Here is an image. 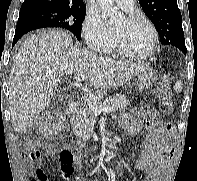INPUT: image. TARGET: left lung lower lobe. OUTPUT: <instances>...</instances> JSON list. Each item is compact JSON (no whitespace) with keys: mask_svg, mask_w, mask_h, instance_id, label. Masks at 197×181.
Returning a JSON list of instances; mask_svg holds the SVG:
<instances>
[{"mask_svg":"<svg viewBox=\"0 0 197 181\" xmlns=\"http://www.w3.org/2000/svg\"><path fill=\"white\" fill-rule=\"evenodd\" d=\"M184 54H186V52H187V49L186 48H181L180 49Z\"/></svg>","mask_w":197,"mask_h":181,"instance_id":"obj_1","label":"left lung lower lobe"}]
</instances>
